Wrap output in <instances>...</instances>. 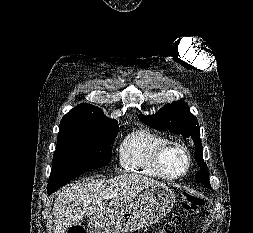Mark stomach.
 <instances>
[{
    "mask_svg": "<svg viewBox=\"0 0 253 233\" xmlns=\"http://www.w3.org/2000/svg\"><path fill=\"white\" fill-rule=\"evenodd\" d=\"M175 203V194L164 185L150 186L116 208L94 215L90 233L132 232L158 222Z\"/></svg>",
    "mask_w": 253,
    "mask_h": 233,
    "instance_id": "obj_1",
    "label": "stomach"
}]
</instances>
